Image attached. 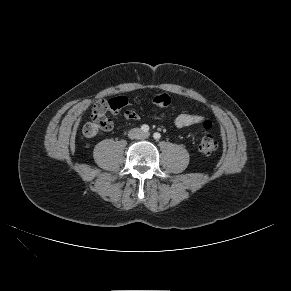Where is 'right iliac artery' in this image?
Wrapping results in <instances>:
<instances>
[{
  "instance_id": "right-iliac-artery-1",
  "label": "right iliac artery",
  "mask_w": 291,
  "mask_h": 291,
  "mask_svg": "<svg viewBox=\"0 0 291 291\" xmlns=\"http://www.w3.org/2000/svg\"><path fill=\"white\" fill-rule=\"evenodd\" d=\"M141 130H142L143 132H148V131H149V126L146 125V124H144V125L141 126Z\"/></svg>"
}]
</instances>
